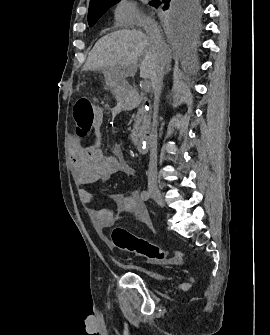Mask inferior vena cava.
Returning a JSON list of instances; mask_svg holds the SVG:
<instances>
[{"mask_svg":"<svg viewBox=\"0 0 270 335\" xmlns=\"http://www.w3.org/2000/svg\"><path fill=\"white\" fill-rule=\"evenodd\" d=\"M143 30L146 32V36L148 40H150V44L153 46H159V44H163V38L160 34V30L158 28V24H156L155 20H151V18H144L142 20ZM165 68H161V70H157L156 74H154L153 78H151L152 82V90L154 92V106L158 108L159 106V98L162 90V82L164 76ZM149 144H150V162L149 169L147 171L148 175V183L149 185H155L157 187V122L153 120L152 130L149 136Z\"/></svg>","mask_w":270,"mask_h":335,"instance_id":"inferior-vena-cava-1","label":"inferior vena cava"}]
</instances>
